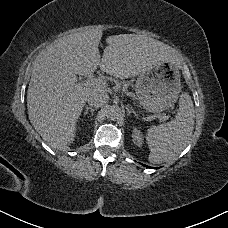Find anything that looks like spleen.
I'll return each mask as SVG.
<instances>
[{
    "instance_id": "3e777b00",
    "label": "spleen",
    "mask_w": 228,
    "mask_h": 228,
    "mask_svg": "<svg viewBox=\"0 0 228 228\" xmlns=\"http://www.w3.org/2000/svg\"><path fill=\"white\" fill-rule=\"evenodd\" d=\"M194 117L195 110L190 95L181 94L175 119L147 130L150 163L160 164L177 159L192 135Z\"/></svg>"
}]
</instances>
